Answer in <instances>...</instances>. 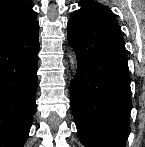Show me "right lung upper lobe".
I'll return each instance as SVG.
<instances>
[{"label":"right lung upper lobe","mask_w":145,"mask_h":147,"mask_svg":"<svg viewBox=\"0 0 145 147\" xmlns=\"http://www.w3.org/2000/svg\"><path fill=\"white\" fill-rule=\"evenodd\" d=\"M30 0L0 1V42L38 24Z\"/></svg>","instance_id":"obj_1"}]
</instances>
